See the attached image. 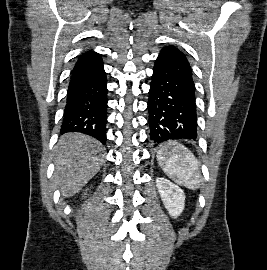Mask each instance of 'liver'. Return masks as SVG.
<instances>
[{
	"instance_id": "liver-1",
	"label": "liver",
	"mask_w": 267,
	"mask_h": 270,
	"mask_svg": "<svg viewBox=\"0 0 267 270\" xmlns=\"http://www.w3.org/2000/svg\"><path fill=\"white\" fill-rule=\"evenodd\" d=\"M104 150L99 141L84 134L68 133L60 138L53 178L62 196L75 195L95 176L104 162Z\"/></svg>"
}]
</instances>
